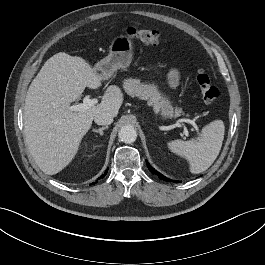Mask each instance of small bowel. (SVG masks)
<instances>
[{"instance_id":"obj_1","label":"small bowel","mask_w":265,"mask_h":265,"mask_svg":"<svg viewBox=\"0 0 265 265\" xmlns=\"http://www.w3.org/2000/svg\"><path fill=\"white\" fill-rule=\"evenodd\" d=\"M168 82L171 87H176L179 82V75L176 70H171L168 74Z\"/></svg>"}]
</instances>
